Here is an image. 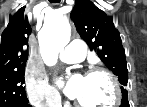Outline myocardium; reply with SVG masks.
I'll return each mask as SVG.
<instances>
[{"label":"myocardium","instance_id":"obj_1","mask_svg":"<svg viewBox=\"0 0 147 107\" xmlns=\"http://www.w3.org/2000/svg\"><path fill=\"white\" fill-rule=\"evenodd\" d=\"M94 75L106 76L108 78V80L110 81L112 88H113L112 102H110L108 105L100 106V107H115V106H117L121 101V87H120V83H119L117 77L112 72H110L109 70L102 68V67H92L86 73V77H91ZM75 105L77 107H90V106H87V105L77 101V100L75 101Z\"/></svg>","mask_w":147,"mask_h":107}]
</instances>
